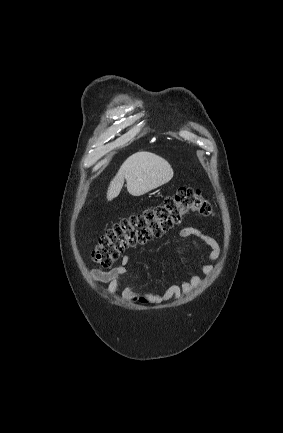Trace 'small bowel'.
<instances>
[{
  "label": "small bowel",
  "instance_id": "obj_1",
  "mask_svg": "<svg viewBox=\"0 0 283 433\" xmlns=\"http://www.w3.org/2000/svg\"><path fill=\"white\" fill-rule=\"evenodd\" d=\"M178 236L181 239L189 240L198 250L201 244L209 247V252L206 256V262L201 265L200 271L204 275H209L213 272V266L208 262L217 259L220 255L219 243L208 233L200 228L188 226L179 230ZM130 262V257L123 256L120 264L108 271L92 270L90 276L93 280L107 284L106 290L109 294H115L120 280L128 273L127 266ZM202 284V279L197 273H191L187 278L183 279L179 284H171L162 292L134 291L131 286L123 289L122 295L125 298L141 297L142 299L153 303L163 304L172 299H179L183 294H188Z\"/></svg>",
  "mask_w": 283,
  "mask_h": 433
}]
</instances>
